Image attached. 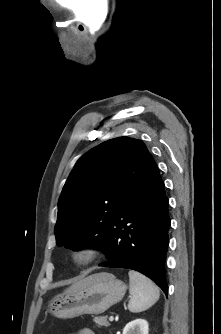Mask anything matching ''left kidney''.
Segmentation results:
<instances>
[{
	"label": "left kidney",
	"instance_id": "5707ae66",
	"mask_svg": "<svg viewBox=\"0 0 221 334\" xmlns=\"http://www.w3.org/2000/svg\"><path fill=\"white\" fill-rule=\"evenodd\" d=\"M149 325L145 319H135L123 329V334H148Z\"/></svg>",
	"mask_w": 221,
	"mask_h": 334
}]
</instances>
